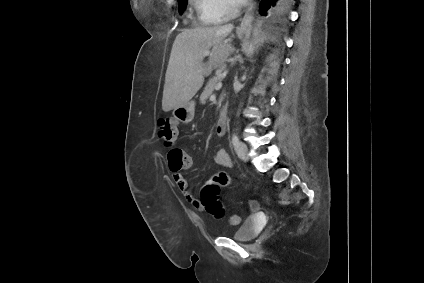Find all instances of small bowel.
Listing matches in <instances>:
<instances>
[{"instance_id":"small-bowel-1","label":"small bowel","mask_w":424,"mask_h":283,"mask_svg":"<svg viewBox=\"0 0 424 283\" xmlns=\"http://www.w3.org/2000/svg\"><path fill=\"white\" fill-rule=\"evenodd\" d=\"M188 160L189 166L187 168L192 165V159L190 158V156H188ZM214 161L217 165L221 167L229 168L232 166L231 158L227 151L223 148H220L216 151ZM172 174L178 189L182 192L187 202H189L196 209L201 210L203 206L201 202L196 198L193 191L190 189L188 180L185 178V176L180 171L172 172Z\"/></svg>"}]
</instances>
